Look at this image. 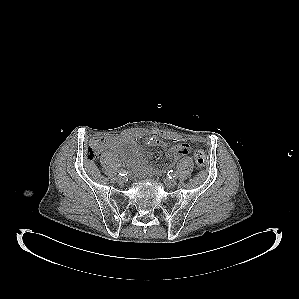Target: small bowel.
I'll list each match as a JSON object with an SVG mask.
<instances>
[{"label":"small bowel","mask_w":299,"mask_h":299,"mask_svg":"<svg viewBox=\"0 0 299 299\" xmlns=\"http://www.w3.org/2000/svg\"><path fill=\"white\" fill-rule=\"evenodd\" d=\"M145 141L148 144L166 148V156L168 159H177L189 155L192 152L191 147L186 143L168 146L159 135L146 137ZM122 145H125L126 148H123ZM105 146L114 151L118 159L125 162L128 168L137 175H153L157 172L155 168L148 164L147 158L142 154L135 139L128 137L108 139Z\"/></svg>","instance_id":"1"}]
</instances>
